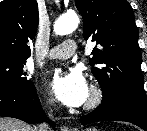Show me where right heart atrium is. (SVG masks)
I'll use <instances>...</instances> for the list:
<instances>
[{
  "label": "right heart atrium",
  "instance_id": "right-heart-atrium-1",
  "mask_svg": "<svg viewBox=\"0 0 147 131\" xmlns=\"http://www.w3.org/2000/svg\"><path fill=\"white\" fill-rule=\"evenodd\" d=\"M47 105L49 108H53L54 107V100L52 98H48Z\"/></svg>",
  "mask_w": 147,
  "mask_h": 131
}]
</instances>
